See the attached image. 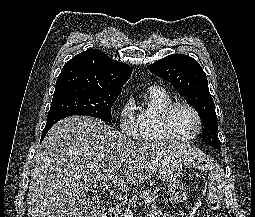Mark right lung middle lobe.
<instances>
[{"label":"right lung middle lobe","mask_w":255,"mask_h":217,"mask_svg":"<svg viewBox=\"0 0 255 217\" xmlns=\"http://www.w3.org/2000/svg\"><path fill=\"white\" fill-rule=\"evenodd\" d=\"M119 93L78 86L55 89L47 120L67 114L86 115L111 122V107Z\"/></svg>","instance_id":"obj_1"}]
</instances>
